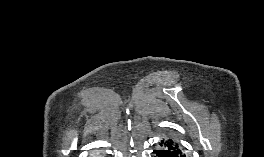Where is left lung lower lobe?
Instances as JSON below:
<instances>
[{
  "instance_id": "1",
  "label": "left lung lower lobe",
  "mask_w": 264,
  "mask_h": 157,
  "mask_svg": "<svg viewBox=\"0 0 264 157\" xmlns=\"http://www.w3.org/2000/svg\"><path fill=\"white\" fill-rule=\"evenodd\" d=\"M153 153V157H189L183 153L173 140L161 141L159 148L154 150Z\"/></svg>"
}]
</instances>
